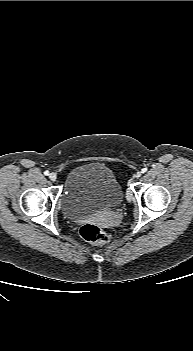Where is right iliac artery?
<instances>
[{"mask_svg":"<svg viewBox=\"0 0 193 351\" xmlns=\"http://www.w3.org/2000/svg\"><path fill=\"white\" fill-rule=\"evenodd\" d=\"M44 175L48 176V175H49V171L46 170V171L44 172Z\"/></svg>","mask_w":193,"mask_h":351,"instance_id":"obj_1","label":"right iliac artery"}]
</instances>
